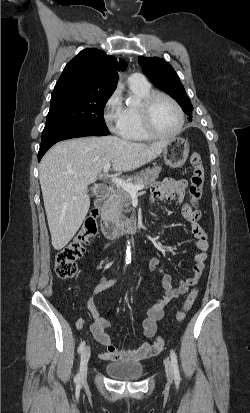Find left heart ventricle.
<instances>
[{
    "label": "left heart ventricle",
    "mask_w": 250,
    "mask_h": 413,
    "mask_svg": "<svg viewBox=\"0 0 250 413\" xmlns=\"http://www.w3.org/2000/svg\"><path fill=\"white\" fill-rule=\"evenodd\" d=\"M152 121L158 132L172 133L178 127L179 114L171 102L164 98H158L153 105Z\"/></svg>",
    "instance_id": "1"
}]
</instances>
